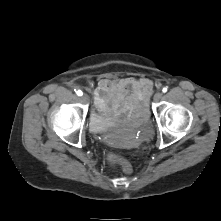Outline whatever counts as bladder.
<instances>
[{
	"mask_svg": "<svg viewBox=\"0 0 221 221\" xmlns=\"http://www.w3.org/2000/svg\"><path fill=\"white\" fill-rule=\"evenodd\" d=\"M147 112L135 116L141 119L146 118ZM126 117L115 113H102L93 111L90 115L89 129L92 133L106 136L107 141L113 146H121L122 141L113 134V125L116 120H123Z\"/></svg>",
	"mask_w": 221,
	"mask_h": 221,
	"instance_id": "obj_1",
	"label": "bladder"
}]
</instances>
